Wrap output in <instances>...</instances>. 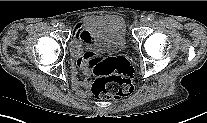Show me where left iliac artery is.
I'll return each instance as SVG.
<instances>
[{
	"label": "left iliac artery",
	"mask_w": 207,
	"mask_h": 123,
	"mask_svg": "<svg viewBox=\"0 0 207 123\" xmlns=\"http://www.w3.org/2000/svg\"><path fill=\"white\" fill-rule=\"evenodd\" d=\"M155 19V16L153 14L148 15V20L153 21Z\"/></svg>",
	"instance_id": "1"
}]
</instances>
